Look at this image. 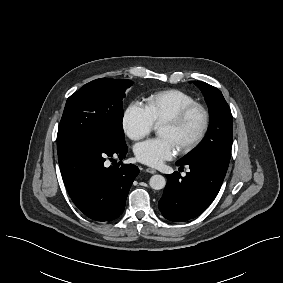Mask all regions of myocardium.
<instances>
[{"label":"myocardium","instance_id":"obj_1","mask_svg":"<svg viewBox=\"0 0 283 283\" xmlns=\"http://www.w3.org/2000/svg\"><path fill=\"white\" fill-rule=\"evenodd\" d=\"M194 112H199L201 114L202 117L201 126L197 134L192 139L178 146V150L182 153L193 150L205 138L210 125V114L208 109L201 103L193 102L183 107L174 116L164 120L161 123L162 125H168L174 129H179L186 123V121L190 118V116Z\"/></svg>","mask_w":283,"mask_h":283}]
</instances>
